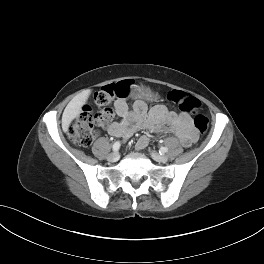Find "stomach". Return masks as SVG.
I'll use <instances>...</instances> for the list:
<instances>
[{
	"instance_id": "obj_1",
	"label": "stomach",
	"mask_w": 264,
	"mask_h": 264,
	"mask_svg": "<svg viewBox=\"0 0 264 264\" xmlns=\"http://www.w3.org/2000/svg\"><path fill=\"white\" fill-rule=\"evenodd\" d=\"M134 97L151 100L155 98V94L147 87H140L134 92Z\"/></svg>"
}]
</instances>
